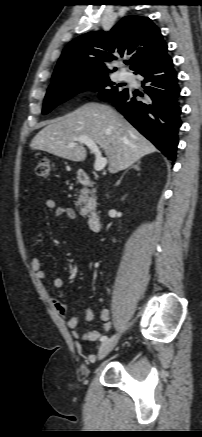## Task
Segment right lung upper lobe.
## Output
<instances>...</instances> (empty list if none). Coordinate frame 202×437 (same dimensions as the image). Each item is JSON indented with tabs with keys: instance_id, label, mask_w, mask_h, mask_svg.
Instances as JSON below:
<instances>
[{
	"instance_id": "right-lung-upper-lobe-1",
	"label": "right lung upper lobe",
	"mask_w": 202,
	"mask_h": 437,
	"mask_svg": "<svg viewBox=\"0 0 202 437\" xmlns=\"http://www.w3.org/2000/svg\"><path fill=\"white\" fill-rule=\"evenodd\" d=\"M124 55H132L131 70L134 72L168 55L160 29L151 19L126 16L107 33L94 31L77 37L63 50L51 81L107 74L111 71L103 62Z\"/></svg>"
}]
</instances>
